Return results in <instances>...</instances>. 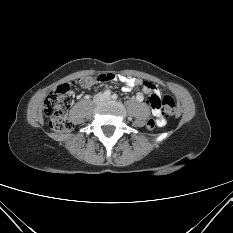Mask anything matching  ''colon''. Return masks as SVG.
Instances as JSON below:
<instances>
[{
  "label": "colon",
  "mask_w": 233,
  "mask_h": 233,
  "mask_svg": "<svg viewBox=\"0 0 233 233\" xmlns=\"http://www.w3.org/2000/svg\"><path fill=\"white\" fill-rule=\"evenodd\" d=\"M83 88H90L96 83H99L95 76H85L79 79ZM149 87L153 88L152 84ZM72 101V92L68 84L59 85L53 89L44 101V112L49 117L50 128L56 132H69L73 129V122L66 116V111L70 107ZM149 103L153 107H157L161 110L165 116H171L176 112L175 99L169 95L164 94L162 96H152L149 99ZM157 126L155 119H150L147 122V127L153 129Z\"/></svg>",
  "instance_id": "obj_1"
}]
</instances>
